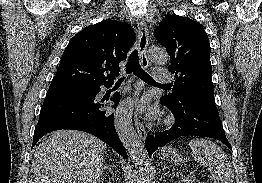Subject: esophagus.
Wrapping results in <instances>:
<instances>
[{"instance_id":"esophagus-1","label":"esophagus","mask_w":262,"mask_h":183,"mask_svg":"<svg viewBox=\"0 0 262 183\" xmlns=\"http://www.w3.org/2000/svg\"><path fill=\"white\" fill-rule=\"evenodd\" d=\"M137 26L139 32L138 49L140 54V60L143 67L147 68L150 64L146 53L148 47V29L145 21L141 17L137 19ZM134 123L139 137L142 140H145L147 137V132L144 128V125L140 122L139 118L137 117V115L135 116Z\"/></svg>"}]
</instances>
